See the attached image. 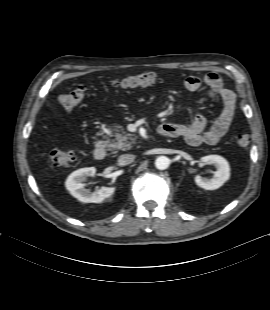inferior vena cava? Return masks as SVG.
I'll use <instances>...</instances> for the list:
<instances>
[{
  "mask_svg": "<svg viewBox=\"0 0 270 310\" xmlns=\"http://www.w3.org/2000/svg\"><path fill=\"white\" fill-rule=\"evenodd\" d=\"M135 159V156L133 154H123L119 156L118 162L120 165H128L131 164Z\"/></svg>",
  "mask_w": 270,
  "mask_h": 310,
  "instance_id": "obj_1",
  "label": "inferior vena cava"
}]
</instances>
